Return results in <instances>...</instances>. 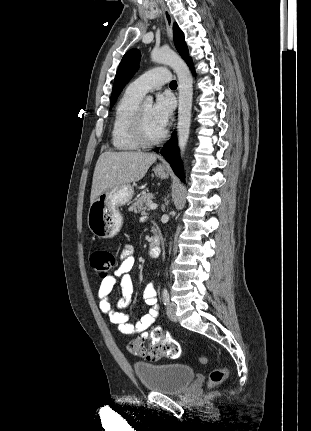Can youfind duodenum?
I'll return each mask as SVG.
<instances>
[{"mask_svg":"<svg viewBox=\"0 0 311 431\" xmlns=\"http://www.w3.org/2000/svg\"><path fill=\"white\" fill-rule=\"evenodd\" d=\"M160 251V238L157 234H155L150 244L149 254L153 259H155L160 255Z\"/></svg>","mask_w":311,"mask_h":431,"instance_id":"1","label":"duodenum"}]
</instances>
